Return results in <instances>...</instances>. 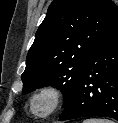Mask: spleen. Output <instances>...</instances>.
<instances>
[{
    "label": "spleen",
    "instance_id": "spleen-1",
    "mask_svg": "<svg viewBox=\"0 0 118 123\" xmlns=\"http://www.w3.org/2000/svg\"><path fill=\"white\" fill-rule=\"evenodd\" d=\"M83 123H114V122L107 119L90 118L84 120Z\"/></svg>",
    "mask_w": 118,
    "mask_h": 123
}]
</instances>
